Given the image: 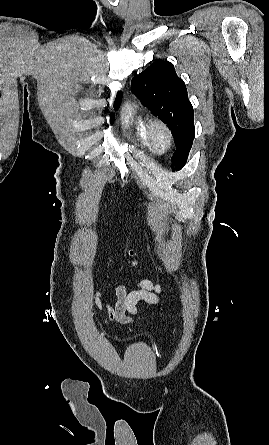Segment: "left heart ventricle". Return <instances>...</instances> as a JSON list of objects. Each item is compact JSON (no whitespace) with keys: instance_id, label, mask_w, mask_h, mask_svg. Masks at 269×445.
I'll return each mask as SVG.
<instances>
[{"instance_id":"1","label":"left heart ventricle","mask_w":269,"mask_h":445,"mask_svg":"<svg viewBox=\"0 0 269 445\" xmlns=\"http://www.w3.org/2000/svg\"><path fill=\"white\" fill-rule=\"evenodd\" d=\"M156 140H157V143H158L160 146H163V145L165 144V137H164L163 134H161V133H158V134L156 135Z\"/></svg>"}]
</instances>
